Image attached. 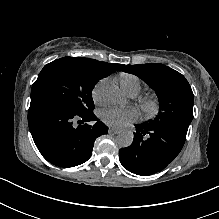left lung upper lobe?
Returning a JSON list of instances; mask_svg holds the SVG:
<instances>
[{"label": "left lung upper lobe", "mask_w": 219, "mask_h": 219, "mask_svg": "<svg viewBox=\"0 0 219 219\" xmlns=\"http://www.w3.org/2000/svg\"><path fill=\"white\" fill-rule=\"evenodd\" d=\"M123 71L138 76L158 96V114L148 124L187 133L193 118L194 95L182 74L163 64L127 65Z\"/></svg>", "instance_id": "1"}]
</instances>
